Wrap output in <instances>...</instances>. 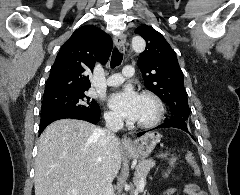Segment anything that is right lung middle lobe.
<instances>
[{"label": "right lung middle lobe", "instance_id": "right-lung-middle-lobe-1", "mask_svg": "<svg viewBox=\"0 0 240 195\" xmlns=\"http://www.w3.org/2000/svg\"><path fill=\"white\" fill-rule=\"evenodd\" d=\"M88 89H72L44 95L41 118L65 112H100L99 105L85 95Z\"/></svg>", "mask_w": 240, "mask_h": 195}]
</instances>
